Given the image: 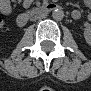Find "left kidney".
I'll return each mask as SVG.
<instances>
[{"mask_svg":"<svg viewBox=\"0 0 91 91\" xmlns=\"http://www.w3.org/2000/svg\"><path fill=\"white\" fill-rule=\"evenodd\" d=\"M84 37H85V40L88 44L91 43V29L89 27H87L84 31Z\"/></svg>","mask_w":91,"mask_h":91,"instance_id":"obj_1","label":"left kidney"}]
</instances>
